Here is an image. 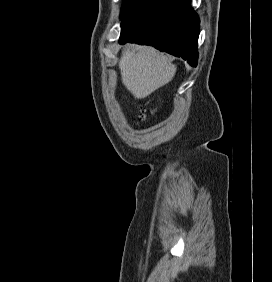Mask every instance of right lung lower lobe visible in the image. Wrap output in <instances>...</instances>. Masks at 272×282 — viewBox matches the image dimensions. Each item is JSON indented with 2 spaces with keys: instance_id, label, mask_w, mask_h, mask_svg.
Instances as JSON below:
<instances>
[{
  "instance_id": "right-lung-lower-lobe-1",
  "label": "right lung lower lobe",
  "mask_w": 272,
  "mask_h": 282,
  "mask_svg": "<svg viewBox=\"0 0 272 282\" xmlns=\"http://www.w3.org/2000/svg\"><path fill=\"white\" fill-rule=\"evenodd\" d=\"M199 24L190 0H141L122 19L119 43L151 45L195 66Z\"/></svg>"
}]
</instances>
